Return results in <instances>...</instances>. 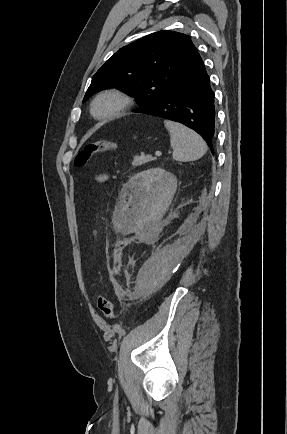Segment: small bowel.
<instances>
[{
    "mask_svg": "<svg viewBox=\"0 0 287 434\" xmlns=\"http://www.w3.org/2000/svg\"><path fill=\"white\" fill-rule=\"evenodd\" d=\"M106 179H107L106 175H103V174H102V175H99V176L97 177V181L100 182V183L105 182ZM93 235L96 236V231L93 232Z\"/></svg>",
    "mask_w": 287,
    "mask_h": 434,
    "instance_id": "small-bowel-1",
    "label": "small bowel"
}]
</instances>
